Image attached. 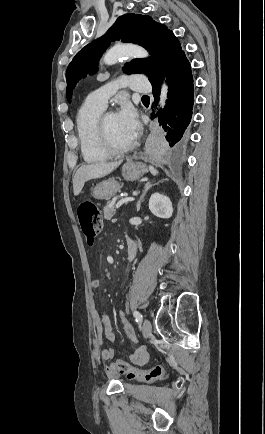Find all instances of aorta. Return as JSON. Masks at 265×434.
Segmentation results:
<instances>
[{
    "mask_svg": "<svg viewBox=\"0 0 265 434\" xmlns=\"http://www.w3.org/2000/svg\"><path fill=\"white\" fill-rule=\"evenodd\" d=\"M121 56H135V58H147L148 52H146L144 48H140V46H124V48H117V46H113V48H110L107 54H105L103 62L104 64H107V66H113V64H117ZM167 94L168 86H166V84H163L159 102L160 108H164L167 100Z\"/></svg>",
    "mask_w": 265,
    "mask_h": 434,
    "instance_id": "obj_1",
    "label": "aorta"
}]
</instances>
